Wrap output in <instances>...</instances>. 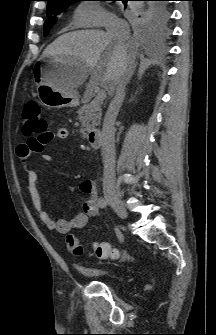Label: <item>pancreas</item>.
Masks as SVG:
<instances>
[{"label":"pancreas","mask_w":216,"mask_h":335,"mask_svg":"<svg viewBox=\"0 0 216 335\" xmlns=\"http://www.w3.org/2000/svg\"><path fill=\"white\" fill-rule=\"evenodd\" d=\"M91 95V90L85 92L84 98L82 99L84 105L78 111V118L82 124L81 133L83 136H85L92 128L100 124L102 116L100 102L94 100L88 103V98Z\"/></svg>","instance_id":"pancreas-1"}]
</instances>
